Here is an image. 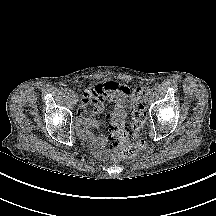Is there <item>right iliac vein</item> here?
Returning <instances> with one entry per match:
<instances>
[{"mask_svg":"<svg viewBox=\"0 0 216 216\" xmlns=\"http://www.w3.org/2000/svg\"><path fill=\"white\" fill-rule=\"evenodd\" d=\"M73 103L77 104L78 103V98L74 95L72 98Z\"/></svg>","mask_w":216,"mask_h":216,"instance_id":"right-iliac-vein-1","label":"right iliac vein"}]
</instances>
